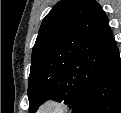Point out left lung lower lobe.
<instances>
[{
    "label": "left lung lower lobe",
    "mask_w": 121,
    "mask_h": 113,
    "mask_svg": "<svg viewBox=\"0 0 121 113\" xmlns=\"http://www.w3.org/2000/svg\"><path fill=\"white\" fill-rule=\"evenodd\" d=\"M72 113H121V60L117 46L81 93Z\"/></svg>",
    "instance_id": "0a47b994"
}]
</instances>
